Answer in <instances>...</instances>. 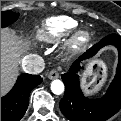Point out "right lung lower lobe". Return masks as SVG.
I'll return each mask as SVG.
<instances>
[{
  "label": "right lung lower lobe",
  "mask_w": 121,
  "mask_h": 121,
  "mask_svg": "<svg viewBox=\"0 0 121 121\" xmlns=\"http://www.w3.org/2000/svg\"><path fill=\"white\" fill-rule=\"evenodd\" d=\"M42 81L39 75H20L13 89L1 98V121H19L27 110L31 90Z\"/></svg>",
  "instance_id": "98d812e1"
}]
</instances>
